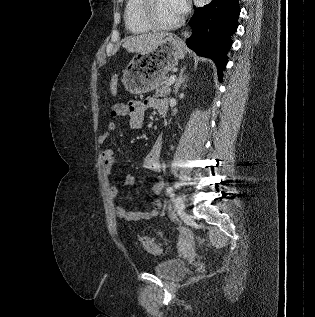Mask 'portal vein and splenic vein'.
Listing matches in <instances>:
<instances>
[{"mask_svg":"<svg viewBox=\"0 0 315 317\" xmlns=\"http://www.w3.org/2000/svg\"><path fill=\"white\" fill-rule=\"evenodd\" d=\"M176 80V75H172L169 79L168 85L171 86Z\"/></svg>","mask_w":315,"mask_h":317,"instance_id":"18ae733b","label":"portal vein and splenic vein"}]
</instances>
